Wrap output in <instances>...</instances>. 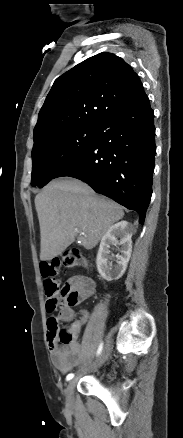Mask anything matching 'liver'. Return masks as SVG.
<instances>
[{"label":"liver","instance_id":"liver-1","mask_svg":"<svg viewBox=\"0 0 183 438\" xmlns=\"http://www.w3.org/2000/svg\"><path fill=\"white\" fill-rule=\"evenodd\" d=\"M35 207L41 260L60 255L75 237L84 248H94L124 216L120 205L97 195L89 185L74 178L51 181L36 195Z\"/></svg>","mask_w":183,"mask_h":438}]
</instances>
